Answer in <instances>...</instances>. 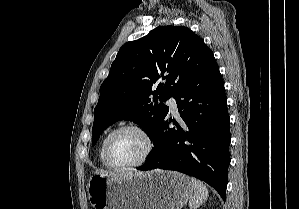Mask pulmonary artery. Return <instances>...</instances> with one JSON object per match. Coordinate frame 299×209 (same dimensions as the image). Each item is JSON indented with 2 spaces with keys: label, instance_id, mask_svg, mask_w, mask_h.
Listing matches in <instances>:
<instances>
[{
  "label": "pulmonary artery",
  "instance_id": "1",
  "mask_svg": "<svg viewBox=\"0 0 299 209\" xmlns=\"http://www.w3.org/2000/svg\"><path fill=\"white\" fill-rule=\"evenodd\" d=\"M167 105L170 107L171 111L174 113V114H177V102H176V98L175 97H170L168 100H167Z\"/></svg>",
  "mask_w": 299,
  "mask_h": 209
}]
</instances>
